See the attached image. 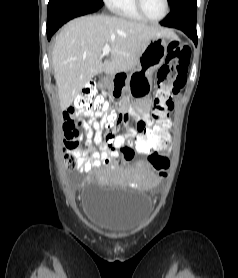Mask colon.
<instances>
[{
    "label": "colon",
    "mask_w": 238,
    "mask_h": 278,
    "mask_svg": "<svg viewBox=\"0 0 238 278\" xmlns=\"http://www.w3.org/2000/svg\"><path fill=\"white\" fill-rule=\"evenodd\" d=\"M190 60V49L185 44L173 41L167 47L165 63L160 67L156 75V91L153 98L152 116L154 124L145 133L146 137H116L119 133V115L113 113L100 131L103 145L114 153H121L123 159L133 156H147L148 162L161 175L168 167V159L155 153V149H168V142L164 136L170 129V113L173 110V98L180 92L186 82L187 66ZM108 102L105 97L98 94L94 85L86 86L75 98L71 111L82 112H105ZM79 124L73 120H67L63 130L67 137L65 148V166L68 170L77 168L75 151L79 150V142L76 140L80 135ZM116 137V139H115ZM123 146L125 148L122 150Z\"/></svg>",
    "instance_id": "obj_1"
}]
</instances>
